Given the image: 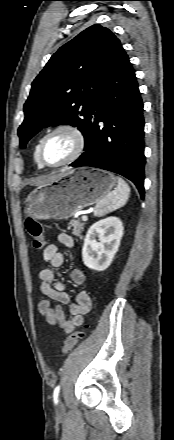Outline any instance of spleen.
<instances>
[{
	"instance_id": "1",
	"label": "spleen",
	"mask_w": 174,
	"mask_h": 440,
	"mask_svg": "<svg viewBox=\"0 0 174 440\" xmlns=\"http://www.w3.org/2000/svg\"><path fill=\"white\" fill-rule=\"evenodd\" d=\"M129 196L130 187L121 177H117V187L97 202L94 216L102 217L123 207L127 203Z\"/></svg>"
}]
</instances>
